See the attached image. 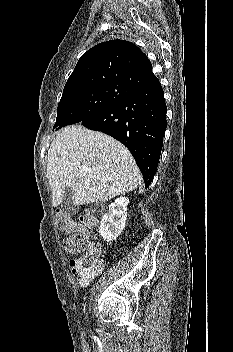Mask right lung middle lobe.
I'll return each instance as SVG.
<instances>
[{
  "mask_svg": "<svg viewBox=\"0 0 233 352\" xmlns=\"http://www.w3.org/2000/svg\"><path fill=\"white\" fill-rule=\"evenodd\" d=\"M135 91L129 87L108 84L78 88L62 95L57 108L54 128L80 123L117 102L129 97Z\"/></svg>",
  "mask_w": 233,
  "mask_h": 352,
  "instance_id": "dd1d6c3e",
  "label": "right lung middle lobe"
}]
</instances>
